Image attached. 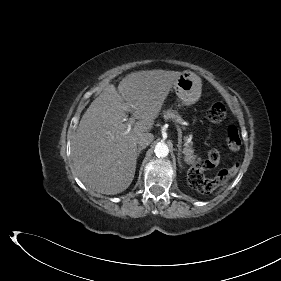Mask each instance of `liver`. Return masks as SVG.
<instances>
[{
    "instance_id": "liver-1",
    "label": "liver",
    "mask_w": 281,
    "mask_h": 281,
    "mask_svg": "<svg viewBox=\"0 0 281 281\" xmlns=\"http://www.w3.org/2000/svg\"><path fill=\"white\" fill-rule=\"evenodd\" d=\"M181 72L162 69L128 74L90 104L74 135L71 153L78 177L92 190L114 195L135 175L137 137L150 131ZM128 106V110H125ZM127 112L138 121L125 133Z\"/></svg>"
}]
</instances>
